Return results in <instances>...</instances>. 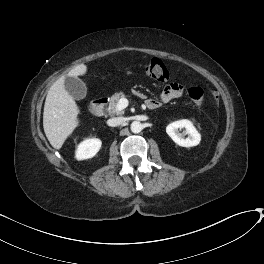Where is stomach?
<instances>
[{
    "instance_id": "1",
    "label": "stomach",
    "mask_w": 264,
    "mask_h": 264,
    "mask_svg": "<svg viewBox=\"0 0 264 264\" xmlns=\"http://www.w3.org/2000/svg\"><path fill=\"white\" fill-rule=\"evenodd\" d=\"M127 74H128V75H130V74H131V72H128Z\"/></svg>"
}]
</instances>
